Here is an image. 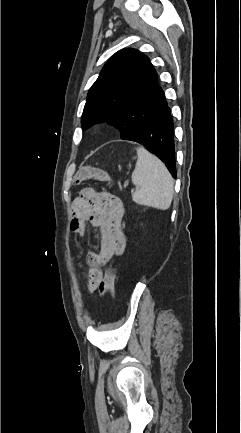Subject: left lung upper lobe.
I'll return each mask as SVG.
<instances>
[{"instance_id":"1","label":"left lung upper lobe","mask_w":241,"mask_h":433,"mask_svg":"<svg viewBox=\"0 0 241 433\" xmlns=\"http://www.w3.org/2000/svg\"><path fill=\"white\" fill-rule=\"evenodd\" d=\"M164 100L149 58L135 49L120 50L108 60L89 90L82 128L109 121L125 140L149 121Z\"/></svg>"}]
</instances>
